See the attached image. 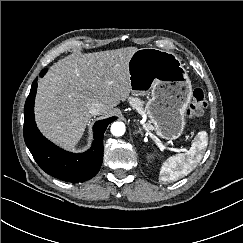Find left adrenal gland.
<instances>
[{"label": "left adrenal gland", "instance_id": "a2214340", "mask_svg": "<svg viewBox=\"0 0 243 243\" xmlns=\"http://www.w3.org/2000/svg\"><path fill=\"white\" fill-rule=\"evenodd\" d=\"M138 133H140L141 135H143L142 129L140 127H139V130L138 131L134 132V134H138Z\"/></svg>", "mask_w": 243, "mask_h": 243}]
</instances>
